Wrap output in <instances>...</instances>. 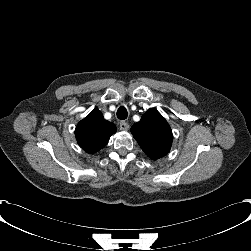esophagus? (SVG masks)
<instances>
[{
  "instance_id": "esophagus-1",
  "label": "esophagus",
  "mask_w": 251,
  "mask_h": 251,
  "mask_svg": "<svg viewBox=\"0 0 251 251\" xmlns=\"http://www.w3.org/2000/svg\"><path fill=\"white\" fill-rule=\"evenodd\" d=\"M129 128V123L126 121L120 122V129L126 131Z\"/></svg>"
}]
</instances>
